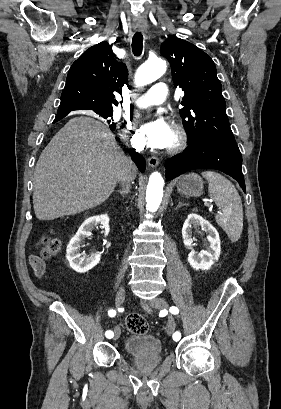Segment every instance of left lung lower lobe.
Masks as SVG:
<instances>
[{
  "label": "left lung lower lobe",
  "instance_id": "0a47b994",
  "mask_svg": "<svg viewBox=\"0 0 281 409\" xmlns=\"http://www.w3.org/2000/svg\"><path fill=\"white\" fill-rule=\"evenodd\" d=\"M190 147L166 162V179L171 180L188 170L212 168L238 181L244 192L242 156L235 141L202 137L189 142Z\"/></svg>",
  "mask_w": 281,
  "mask_h": 409
}]
</instances>
